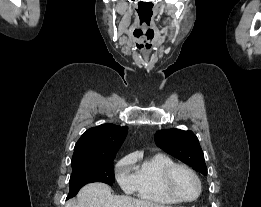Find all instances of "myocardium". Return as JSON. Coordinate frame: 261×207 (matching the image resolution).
Listing matches in <instances>:
<instances>
[{"label":"myocardium","mask_w":261,"mask_h":207,"mask_svg":"<svg viewBox=\"0 0 261 207\" xmlns=\"http://www.w3.org/2000/svg\"><path fill=\"white\" fill-rule=\"evenodd\" d=\"M179 169H183V170L187 171L188 173H190L197 183L198 191H197L196 196L192 199H184V198L180 197L173 188V185H172L173 176H174L175 172ZM163 187H164L165 192L172 199H174L176 202H179V203H192L199 198V196L201 195V192H202V183H201V180H200L198 174L188 165L180 164V163H175V164L169 166L164 171Z\"/></svg>","instance_id":"1"}]
</instances>
